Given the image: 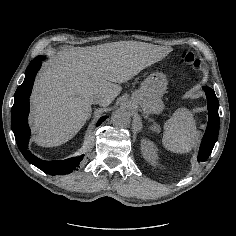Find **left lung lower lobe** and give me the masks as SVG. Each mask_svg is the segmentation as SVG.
Here are the masks:
<instances>
[{"instance_id": "1", "label": "left lung lower lobe", "mask_w": 236, "mask_h": 236, "mask_svg": "<svg viewBox=\"0 0 236 236\" xmlns=\"http://www.w3.org/2000/svg\"><path fill=\"white\" fill-rule=\"evenodd\" d=\"M203 89L205 90L207 96L209 120L206 132L201 142L198 154V161L207 160L217 141L219 133L218 99L213 89L207 86H204Z\"/></svg>"}]
</instances>
